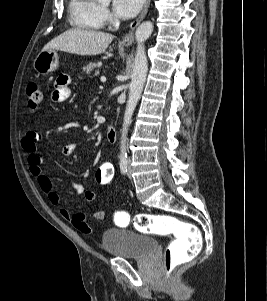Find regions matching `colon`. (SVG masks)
<instances>
[{
    "label": "colon",
    "mask_w": 267,
    "mask_h": 301,
    "mask_svg": "<svg viewBox=\"0 0 267 301\" xmlns=\"http://www.w3.org/2000/svg\"><path fill=\"white\" fill-rule=\"evenodd\" d=\"M27 94L31 105H38L43 101V93L36 83H30ZM114 178V168L110 162H103L95 172V182L101 187H108ZM114 220L120 225L130 223L127 211H117ZM136 230L147 234L171 235L173 240L164 253L165 271L170 277L180 265L192 260L200 251L201 236L198 228L188 222L170 215H153L139 213L133 218Z\"/></svg>",
    "instance_id": "colon-1"
}]
</instances>
